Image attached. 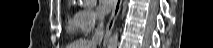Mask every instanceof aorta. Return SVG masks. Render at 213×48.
<instances>
[{"instance_id": "obj_1", "label": "aorta", "mask_w": 213, "mask_h": 48, "mask_svg": "<svg viewBox=\"0 0 213 48\" xmlns=\"http://www.w3.org/2000/svg\"><path fill=\"white\" fill-rule=\"evenodd\" d=\"M97 0H80V2L84 5L94 4ZM119 30L116 29L113 34L110 36L107 44V48H117L119 43Z\"/></svg>"}]
</instances>
